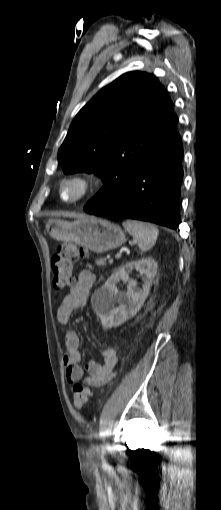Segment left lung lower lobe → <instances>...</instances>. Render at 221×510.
I'll return each instance as SVG.
<instances>
[{
	"label": "left lung lower lobe",
	"mask_w": 221,
	"mask_h": 510,
	"mask_svg": "<svg viewBox=\"0 0 221 510\" xmlns=\"http://www.w3.org/2000/svg\"><path fill=\"white\" fill-rule=\"evenodd\" d=\"M183 150L180 136L151 152L125 188L107 205L84 210L96 216L137 219L176 230L183 177Z\"/></svg>",
	"instance_id": "0a47b994"
}]
</instances>
